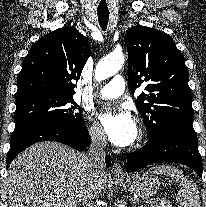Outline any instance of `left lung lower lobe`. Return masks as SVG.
Wrapping results in <instances>:
<instances>
[{
	"label": "left lung lower lobe",
	"mask_w": 206,
	"mask_h": 207,
	"mask_svg": "<svg viewBox=\"0 0 206 207\" xmlns=\"http://www.w3.org/2000/svg\"><path fill=\"white\" fill-rule=\"evenodd\" d=\"M170 161L185 164L202 176V158L198 151L193 125H178L155 141L125 158V170L133 172L155 162Z\"/></svg>",
	"instance_id": "1"
}]
</instances>
